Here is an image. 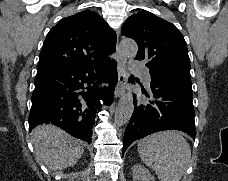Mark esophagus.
<instances>
[{
  "instance_id": "34e87169",
  "label": "esophagus",
  "mask_w": 228,
  "mask_h": 181,
  "mask_svg": "<svg viewBox=\"0 0 228 181\" xmlns=\"http://www.w3.org/2000/svg\"><path fill=\"white\" fill-rule=\"evenodd\" d=\"M118 58H117V71H118V82L115 87V98H120L127 88V75L125 72L126 67V58L123 57L119 49L117 48Z\"/></svg>"
}]
</instances>
